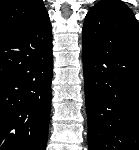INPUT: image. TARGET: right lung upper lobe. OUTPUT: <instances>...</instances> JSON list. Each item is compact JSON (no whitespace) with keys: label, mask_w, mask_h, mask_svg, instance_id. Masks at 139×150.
I'll return each instance as SVG.
<instances>
[{"label":"right lung upper lobe","mask_w":139,"mask_h":150,"mask_svg":"<svg viewBox=\"0 0 139 150\" xmlns=\"http://www.w3.org/2000/svg\"><path fill=\"white\" fill-rule=\"evenodd\" d=\"M45 12L42 0H0V37L30 25Z\"/></svg>","instance_id":"right-lung-upper-lobe-1"}]
</instances>
